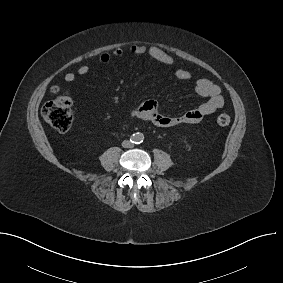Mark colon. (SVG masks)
<instances>
[{"instance_id": "obj_1", "label": "colon", "mask_w": 283, "mask_h": 283, "mask_svg": "<svg viewBox=\"0 0 283 283\" xmlns=\"http://www.w3.org/2000/svg\"><path fill=\"white\" fill-rule=\"evenodd\" d=\"M41 112L45 121L59 133H65L71 128L74 118L72 100L60 87L53 89V98L43 105ZM230 122L231 118L227 114L217 117V123L222 127L228 126Z\"/></svg>"}]
</instances>
